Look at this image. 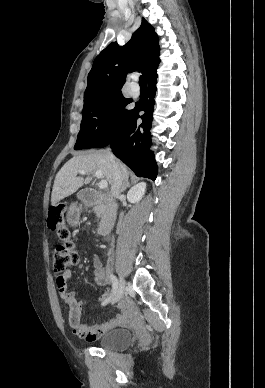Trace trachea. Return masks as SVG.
I'll return each instance as SVG.
<instances>
[{
	"mask_svg": "<svg viewBox=\"0 0 265 388\" xmlns=\"http://www.w3.org/2000/svg\"><path fill=\"white\" fill-rule=\"evenodd\" d=\"M139 85L141 86H147V81H146V78L141 75L140 79H139Z\"/></svg>",
	"mask_w": 265,
	"mask_h": 388,
	"instance_id": "obj_1",
	"label": "trachea"
}]
</instances>
